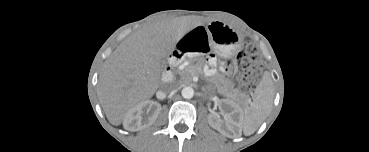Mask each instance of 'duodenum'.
Returning <instances> with one entry per match:
<instances>
[{"instance_id":"obj_1","label":"duodenum","mask_w":369,"mask_h":152,"mask_svg":"<svg viewBox=\"0 0 369 152\" xmlns=\"http://www.w3.org/2000/svg\"><path fill=\"white\" fill-rule=\"evenodd\" d=\"M174 55H172L169 59V65L165 68L163 75H162V81L164 83H169L173 80L174 72H173V64H174Z\"/></svg>"}]
</instances>
